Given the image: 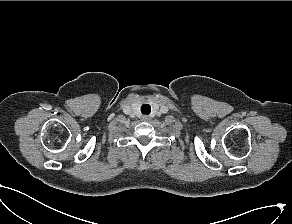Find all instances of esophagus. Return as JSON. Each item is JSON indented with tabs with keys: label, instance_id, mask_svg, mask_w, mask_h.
<instances>
[{
	"label": "esophagus",
	"instance_id": "obj_1",
	"mask_svg": "<svg viewBox=\"0 0 292 224\" xmlns=\"http://www.w3.org/2000/svg\"><path fill=\"white\" fill-rule=\"evenodd\" d=\"M142 120H143V121H149L150 118H149V116H143V117H142Z\"/></svg>",
	"mask_w": 292,
	"mask_h": 224
}]
</instances>
